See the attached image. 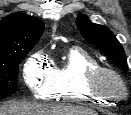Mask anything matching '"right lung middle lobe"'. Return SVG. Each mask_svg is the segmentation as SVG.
Listing matches in <instances>:
<instances>
[{"label": "right lung middle lobe", "mask_w": 131, "mask_h": 115, "mask_svg": "<svg viewBox=\"0 0 131 115\" xmlns=\"http://www.w3.org/2000/svg\"><path fill=\"white\" fill-rule=\"evenodd\" d=\"M31 49L12 54L7 62H0V99L16 93L19 64Z\"/></svg>", "instance_id": "obj_1"}]
</instances>
